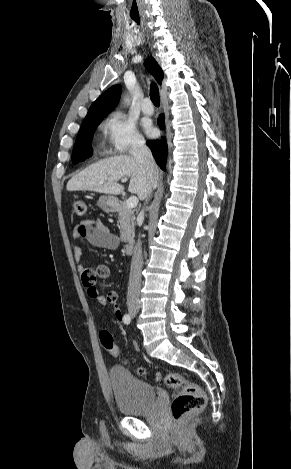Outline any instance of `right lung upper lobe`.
I'll list each match as a JSON object with an SVG mask.
<instances>
[{
	"label": "right lung upper lobe",
	"instance_id": "right-lung-upper-lobe-1",
	"mask_svg": "<svg viewBox=\"0 0 291 469\" xmlns=\"http://www.w3.org/2000/svg\"><path fill=\"white\" fill-rule=\"evenodd\" d=\"M146 65L149 71L156 78L157 82L161 84L164 74L155 59L149 58ZM120 95L121 87L119 85H114L106 90L95 102H93L84 120L103 118L104 116H107L118 104Z\"/></svg>",
	"mask_w": 291,
	"mask_h": 469
}]
</instances>
